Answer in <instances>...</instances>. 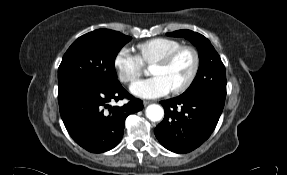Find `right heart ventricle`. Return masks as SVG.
Masks as SVG:
<instances>
[{"instance_id": "obj_1", "label": "right heart ventricle", "mask_w": 287, "mask_h": 175, "mask_svg": "<svg viewBox=\"0 0 287 175\" xmlns=\"http://www.w3.org/2000/svg\"><path fill=\"white\" fill-rule=\"evenodd\" d=\"M183 45L180 40L167 37H157L137 45L139 56L145 64H153L168 52Z\"/></svg>"}]
</instances>
